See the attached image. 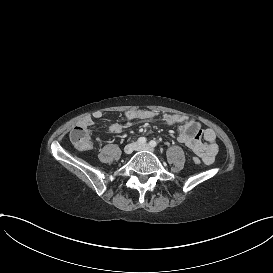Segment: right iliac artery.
Returning a JSON list of instances; mask_svg holds the SVG:
<instances>
[{"label": "right iliac artery", "instance_id": "1", "mask_svg": "<svg viewBox=\"0 0 273 273\" xmlns=\"http://www.w3.org/2000/svg\"><path fill=\"white\" fill-rule=\"evenodd\" d=\"M137 142L139 144H144V143H146V138L145 137H140Z\"/></svg>", "mask_w": 273, "mask_h": 273}]
</instances>
